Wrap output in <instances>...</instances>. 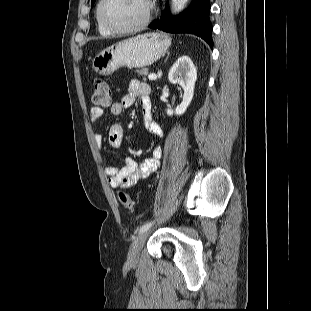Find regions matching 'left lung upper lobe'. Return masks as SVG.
I'll list each match as a JSON object with an SVG mask.
<instances>
[{
  "instance_id": "left-lung-upper-lobe-1",
  "label": "left lung upper lobe",
  "mask_w": 311,
  "mask_h": 311,
  "mask_svg": "<svg viewBox=\"0 0 311 311\" xmlns=\"http://www.w3.org/2000/svg\"><path fill=\"white\" fill-rule=\"evenodd\" d=\"M96 0H91V6L95 3Z\"/></svg>"
}]
</instances>
